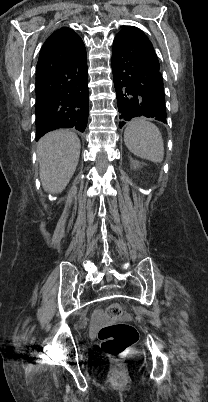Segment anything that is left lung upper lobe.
Segmentation results:
<instances>
[{"instance_id": "left-lung-upper-lobe-1", "label": "left lung upper lobe", "mask_w": 208, "mask_h": 402, "mask_svg": "<svg viewBox=\"0 0 208 402\" xmlns=\"http://www.w3.org/2000/svg\"><path fill=\"white\" fill-rule=\"evenodd\" d=\"M149 46L151 48V50H150L151 63H152V65H154L156 67V69L159 70V67H160L159 61H158V58L156 56V53L154 52V49H153V46H152L151 42L149 43Z\"/></svg>"}]
</instances>
